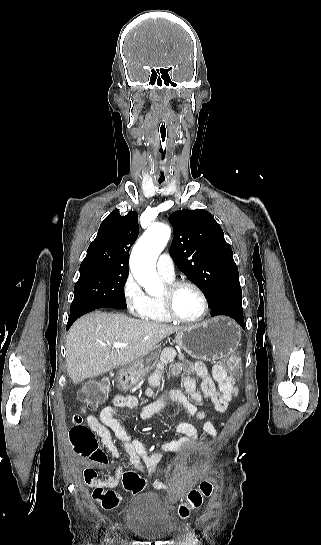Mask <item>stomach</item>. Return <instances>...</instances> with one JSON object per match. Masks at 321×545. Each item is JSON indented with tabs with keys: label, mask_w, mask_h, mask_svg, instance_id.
Returning a JSON list of instances; mask_svg holds the SVG:
<instances>
[{
	"label": "stomach",
	"mask_w": 321,
	"mask_h": 545,
	"mask_svg": "<svg viewBox=\"0 0 321 545\" xmlns=\"http://www.w3.org/2000/svg\"><path fill=\"white\" fill-rule=\"evenodd\" d=\"M176 345L179 349L186 351L193 359H203V361H214L221 359L224 355H229L236 351L241 341V329L235 321L228 317H214L207 319L199 325L184 327L178 331L175 337ZM160 347H155L148 355L139 357L133 363L119 367L117 373L118 387L127 389L128 383L124 379L134 377V375H145L154 369L158 363Z\"/></svg>",
	"instance_id": "0dacf381"
}]
</instances>
